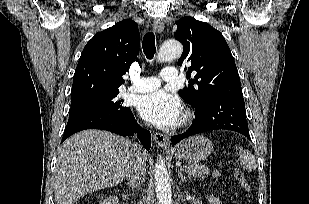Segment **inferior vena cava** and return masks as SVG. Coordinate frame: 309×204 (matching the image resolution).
Wrapping results in <instances>:
<instances>
[{
    "label": "inferior vena cava",
    "instance_id": "1",
    "mask_svg": "<svg viewBox=\"0 0 309 204\" xmlns=\"http://www.w3.org/2000/svg\"><path fill=\"white\" fill-rule=\"evenodd\" d=\"M146 154L140 146L136 145L134 154L126 170L127 184L136 188L143 183L146 174Z\"/></svg>",
    "mask_w": 309,
    "mask_h": 204
}]
</instances>
